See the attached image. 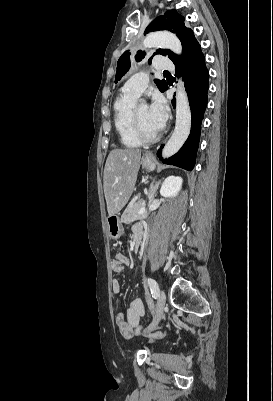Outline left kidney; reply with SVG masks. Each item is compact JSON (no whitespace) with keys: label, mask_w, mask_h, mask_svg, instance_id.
Returning a JSON list of instances; mask_svg holds the SVG:
<instances>
[{"label":"left kidney","mask_w":273,"mask_h":401,"mask_svg":"<svg viewBox=\"0 0 273 401\" xmlns=\"http://www.w3.org/2000/svg\"><path fill=\"white\" fill-rule=\"evenodd\" d=\"M183 178L181 176H167L164 182H162V186L160 188V194L162 196H177L181 186H182Z\"/></svg>","instance_id":"obj_1"}]
</instances>
